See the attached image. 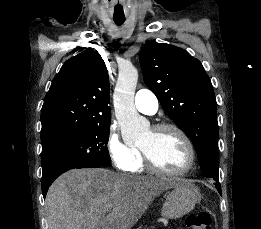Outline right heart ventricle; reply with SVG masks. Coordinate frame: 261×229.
<instances>
[{
	"label": "right heart ventricle",
	"mask_w": 261,
	"mask_h": 229,
	"mask_svg": "<svg viewBox=\"0 0 261 229\" xmlns=\"http://www.w3.org/2000/svg\"><path fill=\"white\" fill-rule=\"evenodd\" d=\"M143 168H144V163H143L142 157L139 152V162H138V165L135 170L140 172L143 170Z\"/></svg>",
	"instance_id": "right-heart-ventricle-1"
}]
</instances>
